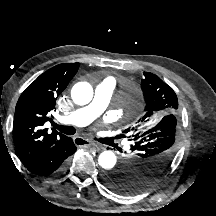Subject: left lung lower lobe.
Masks as SVG:
<instances>
[{
	"instance_id": "obj_1",
	"label": "left lung lower lobe",
	"mask_w": 216,
	"mask_h": 216,
	"mask_svg": "<svg viewBox=\"0 0 216 216\" xmlns=\"http://www.w3.org/2000/svg\"><path fill=\"white\" fill-rule=\"evenodd\" d=\"M106 178H107V175L104 176V179H103L104 182H105ZM105 184H106V182H105ZM106 185H107V184H106ZM108 187H109V186H108ZM109 188H110V187H109Z\"/></svg>"
}]
</instances>
